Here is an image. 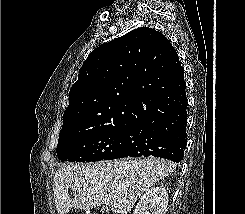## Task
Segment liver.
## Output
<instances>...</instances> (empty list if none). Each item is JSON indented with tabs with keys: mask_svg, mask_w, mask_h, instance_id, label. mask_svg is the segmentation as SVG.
Wrapping results in <instances>:
<instances>
[{
	"mask_svg": "<svg viewBox=\"0 0 245 214\" xmlns=\"http://www.w3.org/2000/svg\"><path fill=\"white\" fill-rule=\"evenodd\" d=\"M175 168L162 159L133 158L62 166L53 181L57 212L67 214L72 208L91 210L106 204L115 214H127L145 190ZM68 188L74 191L73 199Z\"/></svg>",
	"mask_w": 245,
	"mask_h": 214,
	"instance_id": "1",
	"label": "liver"
}]
</instances>
